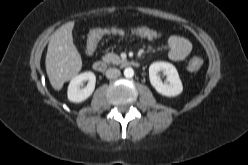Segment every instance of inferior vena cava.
I'll return each mask as SVG.
<instances>
[{"label":"inferior vena cava","mask_w":248,"mask_h":165,"mask_svg":"<svg viewBox=\"0 0 248 165\" xmlns=\"http://www.w3.org/2000/svg\"><path fill=\"white\" fill-rule=\"evenodd\" d=\"M120 74H121L120 70L119 69H116V68H109L106 71V77L108 79H115V78L119 77Z\"/></svg>","instance_id":"602c4592"}]
</instances>
